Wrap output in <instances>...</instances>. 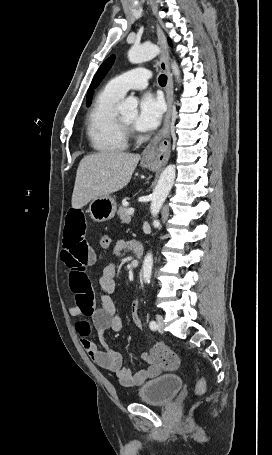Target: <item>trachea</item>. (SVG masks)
I'll list each match as a JSON object with an SVG mask.
<instances>
[{
  "instance_id": "obj_1",
  "label": "trachea",
  "mask_w": 272,
  "mask_h": 455,
  "mask_svg": "<svg viewBox=\"0 0 272 455\" xmlns=\"http://www.w3.org/2000/svg\"><path fill=\"white\" fill-rule=\"evenodd\" d=\"M158 82L161 86H165L167 83V76L164 74L160 75L158 78Z\"/></svg>"
}]
</instances>
